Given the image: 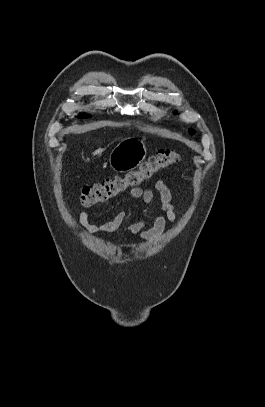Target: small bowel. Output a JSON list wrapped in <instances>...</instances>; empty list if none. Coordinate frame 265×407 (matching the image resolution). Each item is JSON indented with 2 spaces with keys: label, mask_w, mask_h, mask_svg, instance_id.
<instances>
[{
  "label": "small bowel",
  "mask_w": 265,
  "mask_h": 407,
  "mask_svg": "<svg viewBox=\"0 0 265 407\" xmlns=\"http://www.w3.org/2000/svg\"><path fill=\"white\" fill-rule=\"evenodd\" d=\"M155 189L160 196L161 213L155 218L152 226L146 228L144 220L136 221L126 227L125 231L130 235H138L144 241H152L165 232L167 226L174 225L177 219V213L172 201V195L164 181L159 180L155 184ZM132 198L142 199L144 203L150 204L154 199V192L151 189L143 190L139 187H133L129 190ZM127 213L119 212L112 220L102 223H91L87 212L81 211L75 219V223L85 227L92 234L114 232L120 228L125 221Z\"/></svg>",
  "instance_id": "1"
}]
</instances>
